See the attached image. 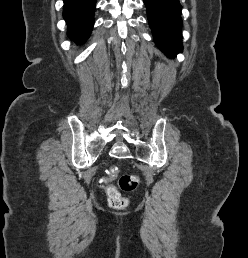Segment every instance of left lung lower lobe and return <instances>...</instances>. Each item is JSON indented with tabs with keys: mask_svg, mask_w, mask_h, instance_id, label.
Instances as JSON below:
<instances>
[{
	"mask_svg": "<svg viewBox=\"0 0 248 258\" xmlns=\"http://www.w3.org/2000/svg\"><path fill=\"white\" fill-rule=\"evenodd\" d=\"M144 3L157 46L167 56L174 57L182 51L179 0H144Z\"/></svg>",
	"mask_w": 248,
	"mask_h": 258,
	"instance_id": "0a47b994",
	"label": "left lung lower lobe"
}]
</instances>
